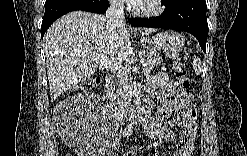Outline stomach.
<instances>
[{
	"label": "stomach",
	"mask_w": 247,
	"mask_h": 156,
	"mask_svg": "<svg viewBox=\"0 0 247 156\" xmlns=\"http://www.w3.org/2000/svg\"><path fill=\"white\" fill-rule=\"evenodd\" d=\"M143 40L152 43L156 49L166 53L179 52L185 45V37L176 31H165Z\"/></svg>",
	"instance_id": "stomach-1"
}]
</instances>
